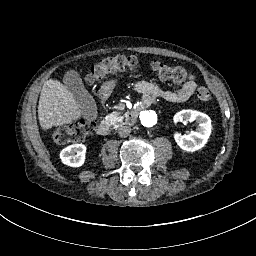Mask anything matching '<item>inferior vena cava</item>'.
I'll return each instance as SVG.
<instances>
[{"instance_id": "obj_1", "label": "inferior vena cava", "mask_w": 256, "mask_h": 256, "mask_svg": "<svg viewBox=\"0 0 256 256\" xmlns=\"http://www.w3.org/2000/svg\"><path fill=\"white\" fill-rule=\"evenodd\" d=\"M131 133V128L129 126H121L118 128V134L120 137H127Z\"/></svg>"}]
</instances>
